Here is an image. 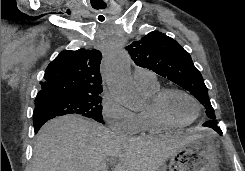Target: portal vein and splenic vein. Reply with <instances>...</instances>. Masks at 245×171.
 Here are the masks:
<instances>
[{"instance_id": "18ae733b", "label": "portal vein and splenic vein", "mask_w": 245, "mask_h": 171, "mask_svg": "<svg viewBox=\"0 0 245 171\" xmlns=\"http://www.w3.org/2000/svg\"><path fill=\"white\" fill-rule=\"evenodd\" d=\"M108 162H109V164L113 165V164L116 163V159H111V160H109Z\"/></svg>"}]
</instances>
